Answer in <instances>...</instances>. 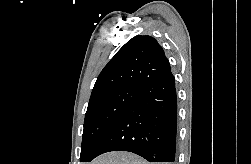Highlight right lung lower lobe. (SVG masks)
<instances>
[{"label":"right lung lower lobe","instance_id":"obj_1","mask_svg":"<svg viewBox=\"0 0 251 164\" xmlns=\"http://www.w3.org/2000/svg\"><path fill=\"white\" fill-rule=\"evenodd\" d=\"M177 135V94L173 74L140 88L139 96L100 138L90 162L109 151L133 152L149 162H174Z\"/></svg>","mask_w":251,"mask_h":164}]
</instances>
